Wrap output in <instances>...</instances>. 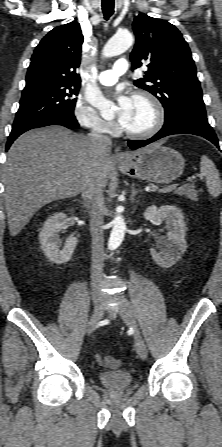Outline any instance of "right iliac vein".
Segmentation results:
<instances>
[{
	"mask_svg": "<svg viewBox=\"0 0 222 447\" xmlns=\"http://www.w3.org/2000/svg\"><path fill=\"white\" fill-rule=\"evenodd\" d=\"M103 308L102 307H96L94 310V313L92 317L90 318L87 326H86V332L87 334H91L96 324L101 320L103 316Z\"/></svg>",
	"mask_w": 222,
	"mask_h": 447,
	"instance_id": "1",
	"label": "right iliac vein"
}]
</instances>
